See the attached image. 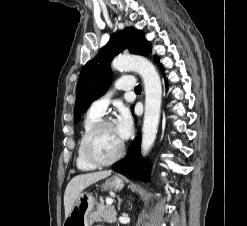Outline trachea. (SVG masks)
Segmentation results:
<instances>
[{
    "label": "trachea",
    "mask_w": 247,
    "mask_h": 226,
    "mask_svg": "<svg viewBox=\"0 0 247 226\" xmlns=\"http://www.w3.org/2000/svg\"><path fill=\"white\" fill-rule=\"evenodd\" d=\"M135 91H136V92L141 91V85H137V86L135 87Z\"/></svg>",
    "instance_id": "1"
}]
</instances>
